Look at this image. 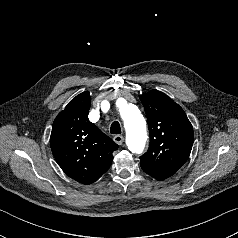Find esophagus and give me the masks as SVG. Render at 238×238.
Instances as JSON below:
<instances>
[{"label":"esophagus","instance_id":"34e87169","mask_svg":"<svg viewBox=\"0 0 238 238\" xmlns=\"http://www.w3.org/2000/svg\"><path fill=\"white\" fill-rule=\"evenodd\" d=\"M113 140L115 141V143H117L118 145H122L123 141H124V137L122 135H115L113 137Z\"/></svg>","mask_w":238,"mask_h":238}]
</instances>
